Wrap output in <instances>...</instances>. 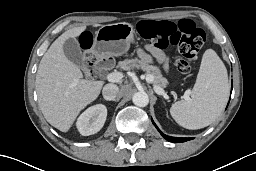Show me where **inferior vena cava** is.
<instances>
[{
	"label": "inferior vena cava",
	"instance_id": "obj_1",
	"mask_svg": "<svg viewBox=\"0 0 256 171\" xmlns=\"http://www.w3.org/2000/svg\"><path fill=\"white\" fill-rule=\"evenodd\" d=\"M119 92V88L115 84H107L104 86L102 94L106 100H114Z\"/></svg>",
	"mask_w": 256,
	"mask_h": 171
}]
</instances>
